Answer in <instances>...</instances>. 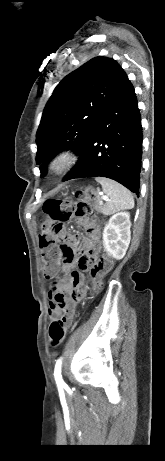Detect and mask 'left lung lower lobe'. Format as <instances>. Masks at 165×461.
I'll list each match as a JSON object with an SVG mask.
<instances>
[{"label":"left lung lower lobe","instance_id":"obj_1","mask_svg":"<svg viewBox=\"0 0 165 461\" xmlns=\"http://www.w3.org/2000/svg\"><path fill=\"white\" fill-rule=\"evenodd\" d=\"M76 167L64 181L107 177L138 195L142 156V126L134 88L128 79L91 130Z\"/></svg>","mask_w":165,"mask_h":461}]
</instances>
